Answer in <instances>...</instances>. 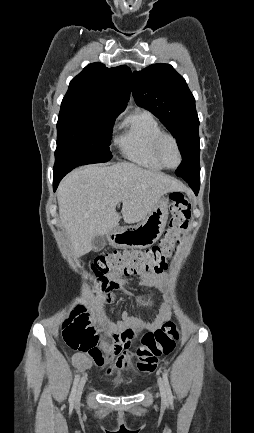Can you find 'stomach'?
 Wrapping results in <instances>:
<instances>
[{"instance_id": "stomach-1", "label": "stomach", "mask_w": 254, "mask_h": 433, "mask_svg": "<svg viewBox=\"0 0 254 433\" xmlns=\"http://www.w3.org/2000/svg\"><path fill=\"white\" fill-rule=\"evenodd\" d=\"M168 219V199L161 198L141 223L117 227L110 231V245L120 248L144 249L153 245L162 235Z\"/></svg>"}]
</instances>
